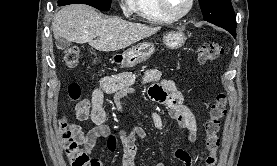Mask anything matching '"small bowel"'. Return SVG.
<instances>
[{
  "mask_svg": "<svg viewBox=\"0 0 277 166\" xmlns=\"http://www.w3.org/2000/svg\"><path fill=\"white\" fill-rule=\"evenodd\" d=\"M136 77L131 72H122L116 75L105 76L99 79L92 91L90 99L81 100L75 107V117L79 121L88 118L94 123V127L86 134L82 133L80 143L83 144V152L92 150L99 138L107 140L108 149L112 152L116 150L117 138L110 132L106 125V112L104 110V97L107 94H114V103L119 112H122L121 100L135 91ZM142 84H150L148 89L149 98L159 104L166 106L169 115L176 122L179 129L185 133L184 145L174 151V156L183 163L184 166H192V158L189 153L191 146L197 140V123L193 113L183 104V96L178 90L174 81L162 79L158 69H148L142 76ZM152 121L156 128H162L164 122L162 116L155 112ZM79 128V127H78ZM80 129V128H79ZM147 132L140 126H135L131 130L119 131V141L123 149L122 166H134L137 152L136 140L146 139ZM94 166H103L97 158H91ZM155 166H165L158 162Z\"/></svg>",
  "mask_w": 277,
  "mask_h": 166,
  "instance_id": "obj_1",
  "label": "small bowel"
}]
</instances>
